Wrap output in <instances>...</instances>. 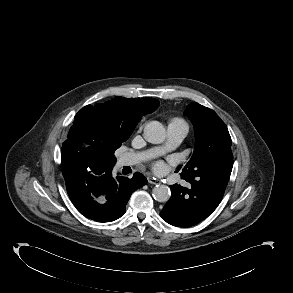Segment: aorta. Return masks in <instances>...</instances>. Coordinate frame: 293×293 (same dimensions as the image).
<instances>
[{
    "mask_svg": "<svg viewBox=\"0 0 293 293\" xmlns=\"http://www.w3.org/2000/svg\"><path fill=\"white\" fill-rule=\"evenodd\" d=\"M145 139L153 144H160L166 138V130L159 121H151L144 127ZM154 199L158 202H166L169 200L171 192L166 185H156L152 190Z\"/></svg>",
    "mask_w": 293,
    "mask_h": 293,
    "instance_id": "aorta-1",
    "label": "aorta"
}]
</instances>
